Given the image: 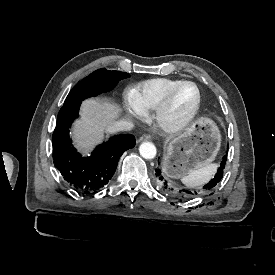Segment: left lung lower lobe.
I'll return each mask as SVG.
<instances>
[{
    "mask_svg": "<svg viewBox=\"0 0 275 275\" xmlns=\"http://www.w3.org/2000/svg\"><path fill=\"white\" fill-rule=\"evenodd\" d=\"M227 156L225 155L223 158V161L221 162L220 167L218 168L214 178L207 183L206 185L203 186L201 189V192L203 193H208L211 192L215 186L219 183L221 178L223 177V169L225 167V162H226ZM159 164V162H158ZM155 178L158 186L165 192V193H175L173 187L168 183V181L164 178V176L161 174L160 168L155 169ZM183 192L186 195H197L199 192H191L188 190H183Z\"/></svg>",
    "mask_w": 275,
    "mask_h": 275,
    "instance_id": "1",
    "label": "left lung lower lobe"
}]
</instances>
